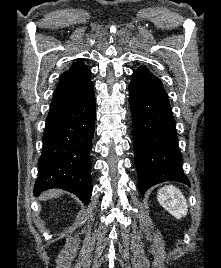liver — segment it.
Returning <instances> with one entry per match:
<instances>
[{
    "label": "liver",
    "instance_id": "1",
    "mask_svg": "<svg viewBox=\"0 0 221 268\" xmlns=\"http://www.w3.org/2000/svg\"><path fill=\"white\" fill-rule=\"evenodd\" d=\"M63 193V191L61 190H49L47 192H45L44 194H42V196L40 197V200H48L51 198H55L60 196Z\"/></svg>",
    "mask_w": 221,
    "mask_h": 268
}]
</instances>
